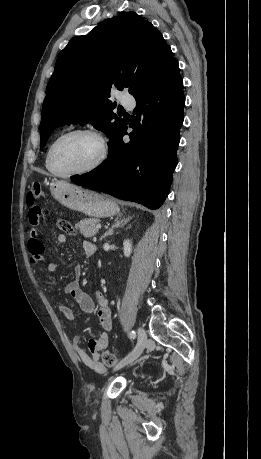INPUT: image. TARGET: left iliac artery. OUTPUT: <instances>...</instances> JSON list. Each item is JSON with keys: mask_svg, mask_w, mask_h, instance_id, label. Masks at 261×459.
Listing matches in <instances>:
<instances>
[{"mask_svg": "<svg viewBox=\"0 0 261 459\" xmlns=\"http://www.w3.org/2000/svg\"><path fill=\"white\" fill-rule=\"evenodd\" d=\"M129 337L132 338V339H134V338L136 337V332H135V331H131V332L129 333Z\"/></svg>", "mask_w": 261, "mask_h": 459, "instance_id": "left-iliac-artery-1", "label": "left iliac artery"}]
</instances>
